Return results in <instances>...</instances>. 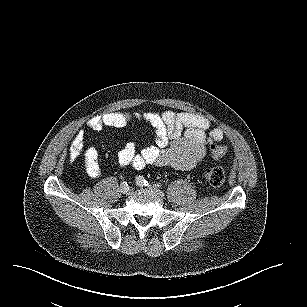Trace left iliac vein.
I'll use <instances>...</instances> for the list:
<instances>
[{"label": "left iliac vein", "mask_w": 307, "mask_h": 307, "mask_svg": "<svg viewBox=\"0 0 307 307\" xmlns=\"http://www.w3.org/2000/svg\"><path fill=\"white\" fill-rule=\"evenodd\" d=\"M149 189L157 192L160 196H163V193L157 187H155V186L151 187L150 186Z\"/></svg>", "instance_id": "1"}]
</instances>
